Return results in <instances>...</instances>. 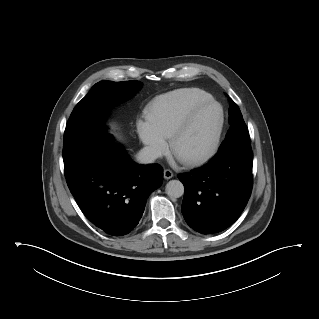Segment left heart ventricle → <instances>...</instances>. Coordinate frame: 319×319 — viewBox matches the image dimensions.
<instances>
[{
    "instance_id": "obj_1",
    "label": "left heart ventricle",
    "mask_w": 319,
    "mask_h": 319,
    "mask_svg": "<svg viewBox=\"0 0 319 319\" xmlns=\"http://www.w3.org/2000/svg\"><path fill=\"white\" fill-rule=\"evenodd\" d=\"M220 123L217 106H208L195 118L188 132L178 141L176 153L181 158L202 155L212 147Z\"/></svg>"
}]
</instances>
